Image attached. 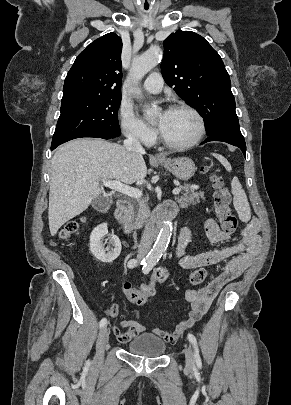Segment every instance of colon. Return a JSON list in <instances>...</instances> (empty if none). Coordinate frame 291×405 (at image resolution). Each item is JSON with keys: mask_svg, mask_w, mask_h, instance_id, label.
Instances as JSON below:
<instances>
[{"mask_svg": "<svg viewBox=\"0 0 291 405\" xmlns=\"http://www.w3.org/2000/svg\"><path fill=\"white\" fill-rule=\"evenodd\" d=\"M209 170L210 168L208 166L201 168L204 174L209 173ZM210 179L215 189L214 206L221 228L225 233L233 234L237 229V218L230 209V194L225 181L221 176L213 173L210 174ZM79 227V221H71L64 226L59 237L61 239H68L78 232ZM206 275L207 273L204 269H197L189 275L188 281L192 285H198L205 280ZM168 279V270L164 267H158L148 282L141 284L139 287H133L129 283H126L124 292L130 302L142 305L155 294L157 286L166 282Z\"/></svg>", "mask_w": 291, "mask_h": 405, "instance_id": "colon-1", "label": "colon"}]
</instances>
